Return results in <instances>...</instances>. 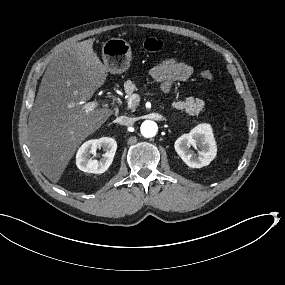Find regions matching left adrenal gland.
Wrapping results in <instances>:
<instances>
[{"label":"left adrenal gland","instance_id":"a2214340","mask_svg":"<svg viewBox=\"0 0 285 285\" xmlns=\"http://www.w3.org/2000/svg\"><path fill=\"white\" fill-rule=\"evenodd\" d=\"M178 118V116L173 117V119Z\"/></svg>","mask_w":285,"mask_h":285}]
</instances>
